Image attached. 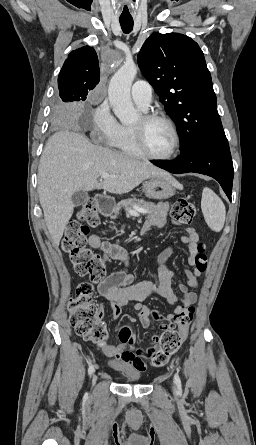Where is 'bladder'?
I'll return each mask as SVG.
<instances>
[{"instance_id": "1", "label": "bladder", "mask_w": 256, "mask_h": 445, "mask_svg": "<svg viewBox=\"0 0 256 445\" xmlns=\"http://www.w3.org/2000/svg\"><path fill=\"white\" fill-rule=\"evenodd\" d=\"M122 378L127 382H136L140 379V374L136 371H129L123 373Z\"/></svg>"}]
</instances>
